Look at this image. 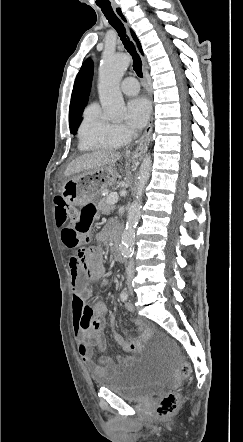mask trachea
<instances>
[{
	"label": "trachea",
	"instance_id": "1",
	"mask_svg": "<svg viewBox=\"0 0 243 442\" xmlns=\"http://www.w3.org/2000/svg\"><path fill=\"white\" fill-rule=\"evenodd\" d=\"M100 8H101L103 14L105 15V17L107 18L108 22L110 23V25L117 31L124 47L129 52V54L132 56L134 71L136 72V74L140 78H142L143 73H142V67H141L142 66L141 60H140L139 55L136 52V49H135L133 43L129 40V38L126 34L124 24L117 17V15L114 13L111 6H100Z\"/></svg>",
	"mask_w": 243,
	"mask_h": 442
}]
</instances>
